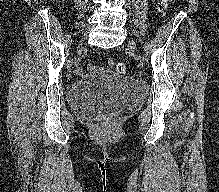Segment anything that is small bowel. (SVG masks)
<instances>
[{
	"label": "small bowel",
	"mask_w": 219,
	"mask_h": 192,
	"mask_svg": "<svg viewBox=\"0 0 219 192\" xmlns=\"http://www.w3.org/2000/svg\"><path fill=\"white\" fill-rule=\"evenodd\" d=\"M91 69L94 70V71H96V70H97V67L91 66Z\"/></svg>",
	"instance_id": "1"
}]
</instances>
